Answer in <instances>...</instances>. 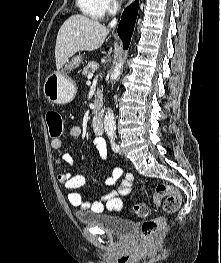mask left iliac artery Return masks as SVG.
<instances>
[{
  "instance_id": "44dca946",
  "label": "left iliac artery",
  "mask_w": 221,
  "mask_h": 263,
  "mask_svg": "<svg viewBox=\"0 0 221 263\" xmlns=\"http://www.w3.org/2000/svg\"><path fill=\"white\" fill-rule=\"evenodd\" d=\"M109 138H110V143H111V146H112V149L113 151L115 152H118L119 151V146L116 144L115 142V136L113 133H110L109 135Z\"/></svg>"
}]
</instances>
